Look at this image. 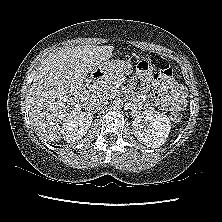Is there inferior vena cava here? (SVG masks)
Masks as SVG:
<instances>
[{"label":"inferior vena cava","instance_id":"obj_1","mask_svg":"<svg viewBox=\"0 0 222 222\" xmlns=\"http://www.w3.org/2000/svg\"><path fill=\"white\" fill-rule=\"evenodd\" d=\"M108 104V98L106 95L101 93H95L90 98L91 109H100Z\"/></svg>","mask_w":222,"mask_h":222}]
</instances>
